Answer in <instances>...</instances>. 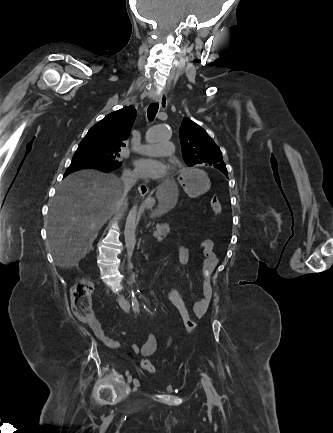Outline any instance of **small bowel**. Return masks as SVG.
Returning a JSON list of instances; mask_svg holds the SVG:
<instances>
[{"mask_svg":"<svg viewBox=\"0 0 333 433\" xmlns=\"http://www.w3.org/2000/svg\"><path fill=\"white\" fill-rule=\"evenodd\" d=\"M200 247L202 249V254H203V274L205 276V279L203 280L202 283V295L193 304V312L197 317L201 318L207 314L213 298L212 286L206 278L215 270L218 264V257L213 251V242L210 239H205L201 241ZM175 257L182 265H186L188 264L190 259L189 250L184 247H180L176 250ZM183 302H185L184 299ZM185 307H187V305H185ZM91 328L95 337L98 340H100L102 343H104L106 346H108L110 349L115 350L120 347L118 341L108 337L104 333L101 325L97 321L91 325ZM169 342L171 343V340ZM156 348H157L156 338L152 334H148L146 336V339L143 344L139 345L137 343H134L131 347L132 352L134 354H140L141 356L144 357V359L152 356L156 351Z\"/></svg>","mask_w":333,"mask_h":433,"instance_id":"small-bowel-1","label":"small bowel"}]
</instances>
